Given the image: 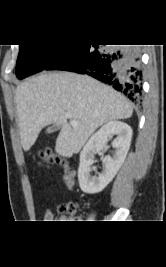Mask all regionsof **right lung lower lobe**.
<instances>
[{
	"instance_id": "1",
	"label": "right lung lower lobe",
	"mask_w": 166,
	"mask_h": 267,
	"mask_svg": "<svg viewBox=\"0 0 166 267\" xmlns=\"http://www.w3.org/2000/svg\"><path fill=\"white\" fill-rule=\"evenodd\" d=\"M44 70H64L87 74L139 103L142 69L136 48L121 50L99 45H66Z\"/></svg>"
}]
</instances>
